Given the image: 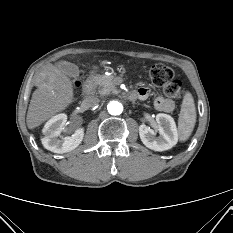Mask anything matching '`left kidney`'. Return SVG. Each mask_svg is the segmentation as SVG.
Segmentation results:
<instances>
[{"mask_svg":"<svg viewBox=\"0 0 233 233\" xmlns=\"http://www.w3.org/2000/svg\"><path fill=\"white\" fill-rule=\"evenodd\" d=\"M156 123L159 136L145 124L140 125L139 135L143 144L154 151H165L171 149L178 142V131L174 119L167 114L156 115Z\"/></svg>","mask_w":233,"mask_h":233,"instance_id":"1","label":"left kidney"}]
</instances>
